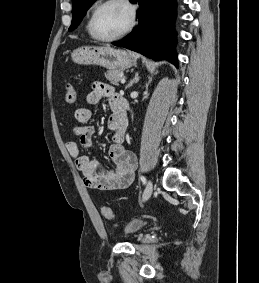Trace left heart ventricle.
<instances>
[{"mask_svg": "<svg viewBox=\"0 0 259 283\" xmlns=\"http://www.w3.org/2000/svg\"><path fill=\"white\" fill-rule=\"evenodd\" d=\"M129 23V11L122 3L114 2L102 7L96 15L94 29L100 37H113Z\"/></svg>", "mask_w": 259, "mask_h": 283, "instance_id": "left-heart-ventricle-1", "label": "left heart ventricle"}]
</instances>
